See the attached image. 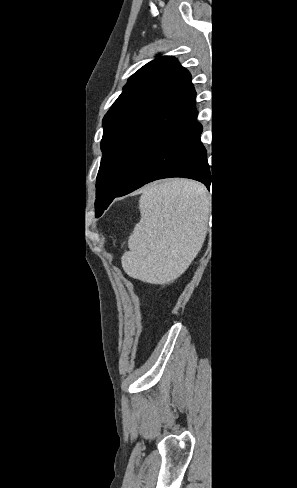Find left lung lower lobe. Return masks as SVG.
<instances>
[{
    "label": "left lung lower lobe",
    "mask_w": 297,
    "mask_h": 488,
    "mask_svg": "<svg viewBox=\"0 0 297 488\" xmlns=\"http://www.w3.org/2000/svg\"><path fill=\"white\" fill-rule=\"evenodd\" d=\"M201 132L202 126L195 119L175 133L139 167L115 197L129 194L149 182L169 177L194 179L209 188L213 174L211 176L207 163V151L200 142ZM115 197L108 201L96 217L103 213Z\"/></svg>",
    "instance_id": "left-lung-lower-lobe-1"
}]
</instances>
